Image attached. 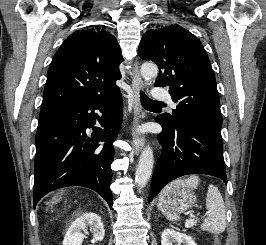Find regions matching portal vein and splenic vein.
<instances>
[{
  "mask_svg": "<svg viewBox=\"0 0 266 245\" xmlns=\"http://www.w3.org/2000/svg\"><path fill=\"white\" fill-rule=\"evenodd\" d=\"M195 223H197V221H193V219H188V221H186V223H185L186 229H189V227H193V225H195Z\"/></svg>",
  "mask_w": 266,
  "mask_h": 245,
  "instance_id": "18ae733b",
  "label": "portal vein and splenic vein"
}]
</instances>
